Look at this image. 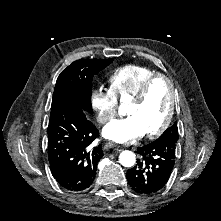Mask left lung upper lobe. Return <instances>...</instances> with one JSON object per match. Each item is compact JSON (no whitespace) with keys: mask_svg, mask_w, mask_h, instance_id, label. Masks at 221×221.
I'll list each match as a JSON object with an SVG mask.
<instances>
[{"mask_svg":"<svg viewBox=\"0 0 221 221\" xmlns=\"http://www.w3.org/2000/svg\"><path fill=\"white\" fill-rule=\"evenodd\" d=\"M173 139L175 141L178 140V128L176 122L170 128L166 129V131L160 136Z\"/></svg>","mask_w":221,"mask_h":221,"instance_id":"left-lung-upper-lobe-1","label":"left lung upper lobe"}]
</instances>
